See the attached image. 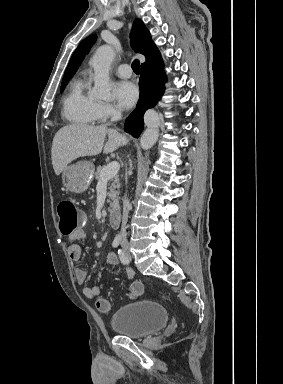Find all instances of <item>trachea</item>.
Masks as SVG:
<instances>
[{"label":"trachea","instance_id":"trachea-1","mask_svg":"<svg viewBox=\"0 0 283 384\" xmlns=\"http://www.w3.org/2000/svg\"><path fill=\"white\" fill-rule=\"evenodd\" d=\"M132 69L133 71L136 73V74H139V71H140V63H139V60H134L132 62Z\"/></svg>","mask_w":283,"mask_h":384}]
</instances>
